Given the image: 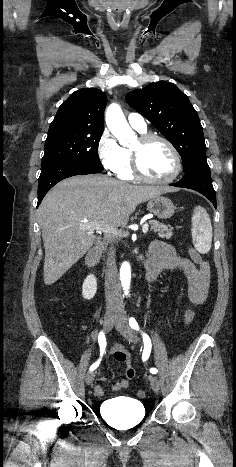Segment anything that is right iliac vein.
Segmentation results:
<instances>
[{
    "label": "right iliac vein",
    "instance_id": "right-iliac-vein-1",
    "mask_svg": "<svg viewBox=\"0 0 236 467\" xmlns=\"http://www.w3.org/2000/svg\"><path fill=\"white\" fill-rule=\"evenodd\" d=\"M117 319L116 312H107L104 318V329L105 331H110L114 325L115 320ZM95 378V372L90 371L87 373L85 377V381L87 385H90Z\"/></svg>",
    "mask_w": 236,
    "mask_h": 467
}]
</instances>
